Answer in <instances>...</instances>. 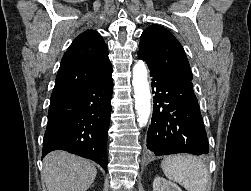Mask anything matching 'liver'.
<instances>
[{"instance_id": "obj_1", "label": "liver", "mask_w": 251, "mask_h": 191, "mask_svg": "<svg viewBox=\"0 0 251 191\" xmlns=\"http://www.w3.org/2000/svg\"><path fill=\"white\" fill-rule=\"evenodd\" d=\"M96 173L90 161L67 151H51L43 159V177L48 191H86Z\"/></svg>"}]
</instances>
